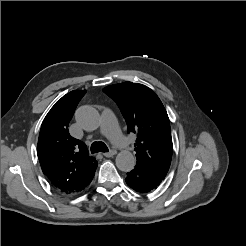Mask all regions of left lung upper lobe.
Masks as SVG:
<instances>
[{
	"instance_id": "left-lung-upper-lobe-1",
	"label": "left lung upper lobe",
	"mask_w": 246,
	"mask_h": 246,
	"mask_svg": "<svg viewBox=\"0 0 246 246\" xmlns=\"http://www.w3.org/2000/svg\"><path fill=\"white\" fill-rule=\"evenodd\" d=\"M120 108L128 133L137 134L136 165L164 179L171 163L173 145L167 112L158 96L147 86L132 82L103 89Z\"/></svg>"
}]
</instances>
